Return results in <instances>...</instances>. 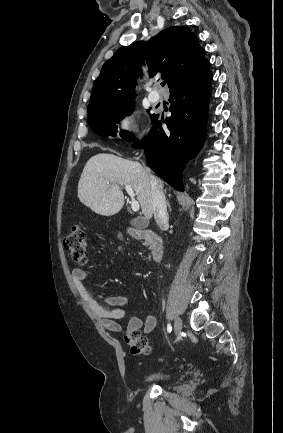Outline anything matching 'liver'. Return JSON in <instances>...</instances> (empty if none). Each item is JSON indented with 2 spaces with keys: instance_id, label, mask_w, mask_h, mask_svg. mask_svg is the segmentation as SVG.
Here are the masks:
<instances>
[{
  "instance_id": "6515ba94",
  "label": "liver",
  "mask_w": 283,
  "mask_h": 433,
  "mask_svg": "<svg viewBox=\"0 0 283 433\" xmlns=\"http://www.w3.org/2000/svg\"><path fill=\"white\" fill-rule=\"evenodd\" d=\"M156 180L163 188V180ZM123 184H130L137 194L146 221L152 219L154 210L150 174L137 160H126L106 152L91 156L79 178L78 196L83 204L97 214L111 217L124 206Z\"/></svg>"
}]
</instances>
